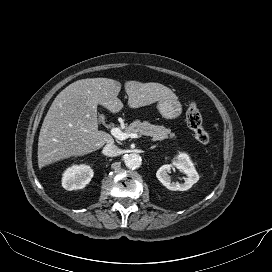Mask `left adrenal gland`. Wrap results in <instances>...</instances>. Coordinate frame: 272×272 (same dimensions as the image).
Here are the masks:
<instances>
[{"mask_svg": "<svg viewBox=\"0 0 272 272\" xmlns=\"http://www.w3.org/2000/svg\"><path fill=\"white\" fill-rule=\"evenodd\" d=\"M154 148H156V146H152L150 149H154Z\"/></svg>", "mask_w": 272, "mask_h": 272, "instance_id": "a2214340", "label": "left adrenal gland"}]
</instances>
